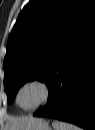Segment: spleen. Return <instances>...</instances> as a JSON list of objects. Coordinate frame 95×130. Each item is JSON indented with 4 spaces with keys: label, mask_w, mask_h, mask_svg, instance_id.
<instances>
[{
    "label": "spleen",
    "mask_w": 95,
    "mask_h": 130,
    "mask_svg": "<svg viewBox=\"0 0 95 130\" xmlns=\"http://www.w3.org/2000/svg\"><path fill=\"white\" fill-rule=\"evenodd\" d=\"M52 127L54 128V130H80L79 127L73 124L58 120H54L52 122Z\"/></svg>",
    "instance_id": "1"
}]
</instances>
